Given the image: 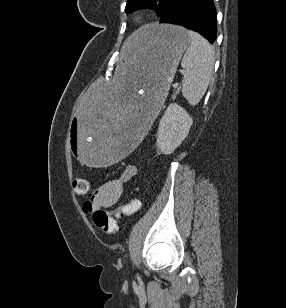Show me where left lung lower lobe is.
Wrapping results in <instances>:
<instances>
[{
    "label": "left lung lower lobe",
    "instance_id": "0a47b994",
    "mask_svg": "<svg viewBox=\"0 0 286 308\" xmlns=\"http://www.w3.org/2000/svg\"><path fill=\"white\" fill-rule=\"evenodd\" d=\"M160 23L178 24L194 30L213 43L217 35V14L213 0H172Z\"/></svg>",
    "mask_w": 286,
    "mask_h": 308
}]
</instances>
